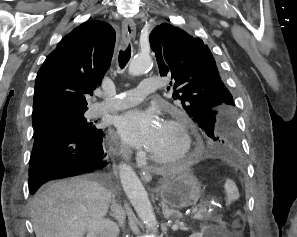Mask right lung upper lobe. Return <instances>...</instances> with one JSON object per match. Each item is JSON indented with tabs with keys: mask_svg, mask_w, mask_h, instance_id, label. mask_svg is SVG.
<instances>
[{
	"mask_svg": "<svg viewBox=\"0 0 297 237\" xmlns=\"http://www.w3.org/2000/svg\"><path fill=\"white\" fill-rule=\"evenodd\" d=\"M114 45V29L99 20L84 22L65 36L38 71L32 120L59 111L85 112V95L101 83Z\"/></svg>",
	"mask_w": 297,
	"mask_h": 237,
	"instance_id": "1",
	"label": "right lung upper lobe"
}]
</instances>
